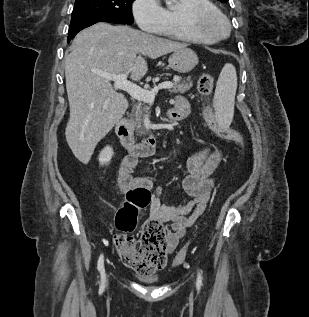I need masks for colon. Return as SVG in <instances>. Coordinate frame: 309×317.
<instances>
[{"label":"colon","mask_w":309,"mask_h":317,"mask_svg":"<svg viewBox=\"0 0 309 317\" xmlns=\"http://www.w3.org/2000/svg\"><path fill=\"white\" fill-rule=\"evenodd\" d=\"M198 91L203 99V116L207 124L217 130L218 134L235 142L241 150L244 149L242 135L230 128H218L214 119L208 97L213 89V78L203 74L198 80ZM151 200V194L145 189H134L126 194L123 207L116 216L115 236L116 251L122 262L141 275H149L161 270L166 264L168 247L167 236L163 224L149 219L143 224L139 239L133 238L130 233L135 229L138 213L145 209ZM186 249H182L176 256L175 262L181 263L186 257Z\"/></svg>","instance_id":"5ec220e1"}]
</instances>
